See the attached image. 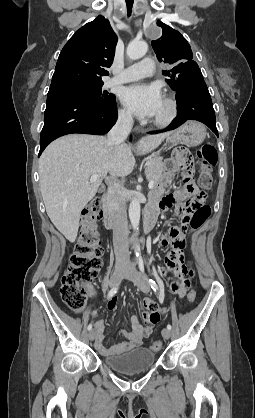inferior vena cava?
<instances>
[{
	"label": "inferior vena cava",
	"mask_w": 255,
	"mask_h": 418,
	"mask_svg": "<svg viewBox=\"0 0 255 418\" xmlns=\"http://www.w3.org/2000/svg\"><path fill=\"white\" fill-rule=\"evenodd\" d=\"M133 126V118L129 113H121L117 122L107 135V143L114 147L124 142ZM108 206L113 221V246L118 261L129 258L127 238L129 234L125 191L117 182L108 187Z\"/></svg>",
	"instance_id": "obj_1"
}]
</instances>
